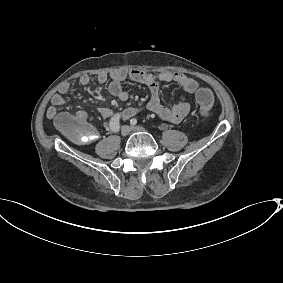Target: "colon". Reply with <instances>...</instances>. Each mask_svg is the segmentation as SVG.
<instances>
[{"instance_id": "5ec220e1", "label": "colon", "mask_w": 283, "mask_h": 283, "mask_svg": "<svg viewBox=\"0 0 283 283\" xmlns=\"http://www.w3.org/2000/svg\"><path fill=\"white\" fill-rule=\"evenodd\" d=\"M196 99L199 113L207 116L214 105L213 93L207 88H202L197 92ZM56 124L66 136L76 143L87 144L96 139L94 128L87 121L80 120L76 116L62 113L58 116Z\"/></svg>"}]
</instances>
